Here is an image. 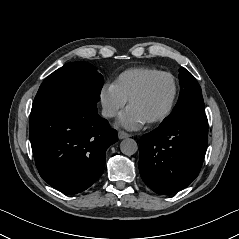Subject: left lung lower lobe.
<instances>
[{"label":"left lung lower lobe","mask_w":239,"mask_h":239,"mask_svg":"<svg viewBox=\"0 0 239 239\" xmlns=\"http://www.w3.org/2000/svg\"><path fill=\"white\" fill-rule=\"evenodd\" d=\"M208 143V120L191 112L141 137L139 170L144 183L166 195L186 188L199 174Z\"/></svg>","instance_id":"obj_1"}]
</instances>
